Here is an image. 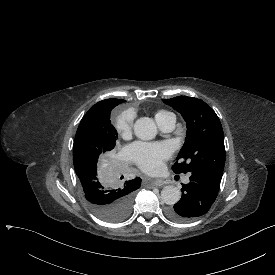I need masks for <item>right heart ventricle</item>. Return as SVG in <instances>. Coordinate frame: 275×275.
<instances>
[{
  "mask_svg": "<svg viewBox=\"0 0 275 275\" xmlns=\"http://www.w3.org/2000/svg\"><path fill=\"white\" fill-rule=\"evenodd\" d=\"M172 114L171 112H168V111H165V110H161V111H158L155 115V119H161V118H164V117H167L168 115Z\"/></svg>",
  "mask_w": 275,
  "mask_h": 275,
  "instance_id": "right-heart-ventricle-1",
  "label": "right heart ventricle"
}]
</instances>
